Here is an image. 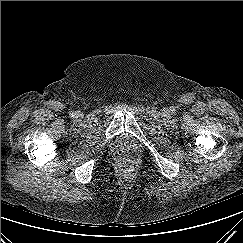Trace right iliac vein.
Instances as JSON below:
<instances>
[{"label":"right iliac vein","mask_w":243,"mask_h":243,"mask_svg":"<svg viewBox=\"0 0 243 243\" xmlns=\"http://www.w3.org/2000/svg\"><path fill=\"white\" fill-rule=\"evenodd\" d=\"M76 116H77V117H81V116H82L81 112H77V113H76Z\"/></svg>","instance_id":"obj_1"}]
</instances>
